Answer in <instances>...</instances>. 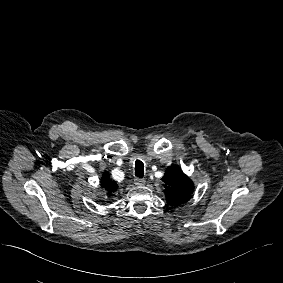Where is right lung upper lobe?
I'll return each mask as SVG.
<instances>
[{
	"label": "right lung upper lobe",
	"instance_id": "right-lung-upper-lobe-1",
	"mask_svg": "<svg viewBox=\"0 0 283 283\" xmlns=\"http://www.w3.org/2000/svg\"><path fill=\"white\" fill-rule=\"evenodd\" d=\"M100 186L103 188V190L107 191L108 195H111L118 187L116 182L110 179V176L107 172L102 175Z\"/></svg>",
	"mask_w": 283,
	"mask_h": 283
}]
</instances>
